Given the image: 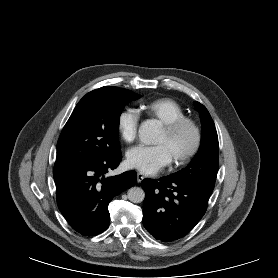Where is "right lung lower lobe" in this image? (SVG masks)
<instances>
[{"mask_svg": "<svg viewBox=\"0 0 278 278\" xmlns=\"http://www.w3.org/2000/svg\"><path fill=\"white\" fill-rule=\"evenodd\" d=\"M121 160L119 152L107 158L54 165L59 210L80 234L93 236L105 231L110 220L109 202L114 196L135 185L137 174L134 171L106 176L108 171L117 168Z\"/></svg>", "mask_w": 278, "mask_h": 278, "instance_id": "obj_1", "label": "right lung lower lobe"}]
</instances>
